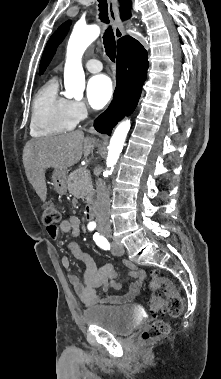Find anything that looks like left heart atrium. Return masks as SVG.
Instances as JSON below:
<instances>
[{
	"label": "left heart atrium",
	"mask_w": 221,
	"mask_h": 379,
	"mask_svg": "<svg viewBox=\"0 0 221 379\" xmlns=\"http://www.w3.org/2000/svg\"><path fill=\"white\" fill-rule=\"evenodd\" d=\"M114 86L106 75H96L87 84V99L94 109L103 108L112 98Z\"/></svg>",
	"instance_id": "39dd6f15"
}]
</instances>
